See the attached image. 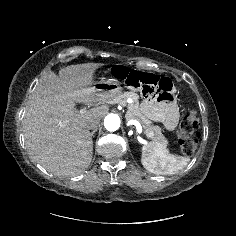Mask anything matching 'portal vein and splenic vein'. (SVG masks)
<instances>
[{
  "label": "portal vein and splenic vein",
  "instance_id": "1",
  "mask_svg": "<svg viewBox=\"0 0 236 236\" xmlns=\"http://www.w3.org/2000/svg\"><path fill=\"white\" fill-rule=\"evenodd\" d=\"M85 112V109H81L80 110V113H84ZM137 129H138V131H142V127H141V125L138 123V125H137Z\"/></svg>",
  "mask_w": 236,
  "mask_h": 236
}]
</instances>
